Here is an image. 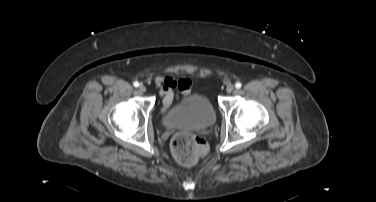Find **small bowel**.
<instances>
[{"label":"small bowel","mask_w":376,"mask_h":202,"mask_svg":"<svg viewBox=\"0 0 376 202\" xmlns=\"http://www.w3.org/2000/svg\"><path fill=\"white\" fill-rule=\"evenodd\" d=\"M159 96L162 99V110L165 111L175 99L179 100L180 96L175 93L177 90L181 95H189L192 91V81L187 78L179 80L173 77H157L155 80Z\"/></svg>","instance_id":"1"}]
</instances>
